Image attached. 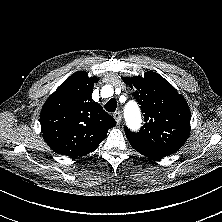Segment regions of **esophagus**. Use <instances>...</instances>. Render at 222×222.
<instances>
[{"instance_id":"1","label":"esophagus","mask_w":222,"mask_h":222,"mask_svg":"<svg viewBox=\"0 0 222 222\" xmlns=\"http://www.w3.org/2000/svg\"><path fill=\"white\" fill-rule=\"evenodd\" d=\"M113 117L114 119L116 120L117 124H119L121 122V114L119 111H116L114 114H113Z\"/></svg>"}]
</instances>
